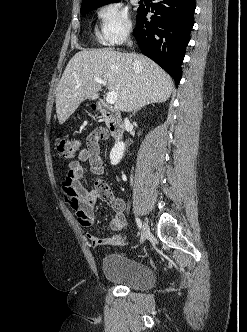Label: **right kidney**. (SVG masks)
<instances>
[{
  "label": "right kidney",
  "mask_w": 247,
  "mask_h": 332,
  "mask_svg": "<svg viewBox=\"0 0 247 332\" xmlns=\"http://www.w3.org/2000/svg\"><path fill=\"white\" fill-rule=\"evenodd\" d=\"M125 150V144L123 142H117L110 152V161L112 165H117L123 158Z\"/></svg>",
  "instance_id": "1"
}]
</instances>
